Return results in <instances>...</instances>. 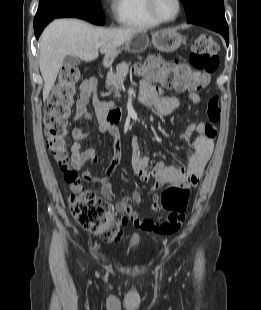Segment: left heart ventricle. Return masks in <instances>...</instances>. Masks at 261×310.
<instances>
[{"label": "left heart ventricle", "instance_id": "b2bd125f", "mask_svg": "<svg viewBox=\"0 0 261 310\" xmlns=\"http://www.w3.org/2000/svg\"><path fill=\"white\" fill-rule=\"evenodd\" d=\"M157 13L166 19L172 18L177 11L175 0H155Z\"/></svg>", "mask_w": 261, "mask_h": 310}]
</instances>
